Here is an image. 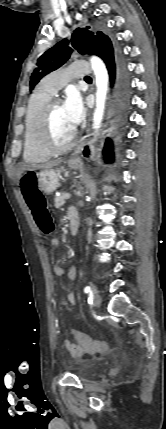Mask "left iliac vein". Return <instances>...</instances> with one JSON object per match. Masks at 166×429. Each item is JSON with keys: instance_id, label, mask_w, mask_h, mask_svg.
Instances as JSON below:
<instances>
[{"instance_id": "4c4485c4", "label": "left iliac vein", "mask_w": 166, "mask_h": 429, "mask_svg": "<svg viewBox=\"0 0 166 429\" xmlns=\"http://www.w3.org/2000/svg\"><path fill=\"white\" fill-rule=\"evenodd\" d=\"M93 302L97 308H99L101 306L102 298H101L100 294H98L97 292H95V294H94Z\"/></svg>"}]
</instances>
